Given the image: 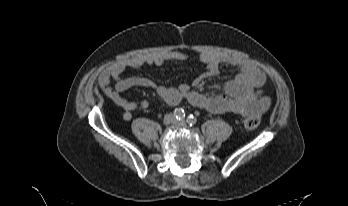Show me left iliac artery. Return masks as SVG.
Returning a JSON list of instances; mask_svg holds the SVG:
<instances>
[{
	"instance_id": "left-iliac-artery-1",
	"label": "left iliac artery",
	"mask_w": 348,
	"mask_h": 206,
	"mask_svg": "<svg viewBox=\"0 0 348 206\" xmlns=\"http://www.w3.org/2000/svg\"><path fill=\"white\" fill-rule=\"evenodd\" d=\"M187 123L190 125V126H193L196 124L197 122V118L193 115V114H190L188 117H187Z\"/></svg>"
}]
</instances>
